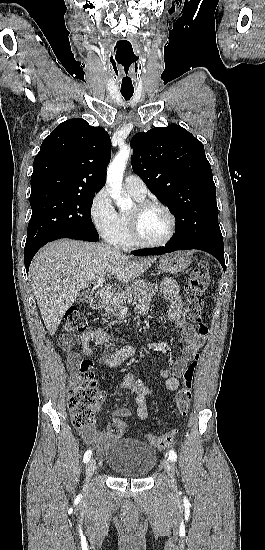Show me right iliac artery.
<instances>
[{
	"mask_svg": "<svg viewBox=\"0 0 265 550\" xmlns=\"http://www.w3.org/2000/svg\"><path fill=\"white\" fill-rule=\"evenodd\" d=\"M91 455H92V450H87L85 452L84 457H83L84 463H87L90 460Z\"/></svg>",
	"mask_w": 265,
	"mask_h": 550,
	"instance_id": "right-iliac-artery-1",
	"label": "right iliac artery"
}]
</instances>
